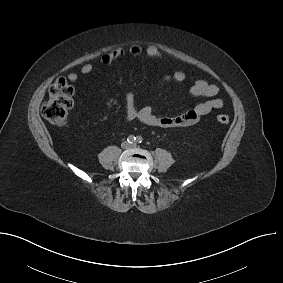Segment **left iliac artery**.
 I'll return each mask as SVG.
<instances>
[{
    "instance_id": "left-iliac-artery-1",
    "label": "left iliac artery",
    "mask_w": 283,
    "mask_h": 283,
    "mask_svg": "<svg viewBox=\"0 0 283 283\" xmlns=\"http://www.w3.org/2000/svg\"><path fill=\"white\" fill-rule=\"evenodd\" d=\"M142 141H143V138L141 136H137L136 142L137 143H142Z\"/></svg>"
}]
</instances>
